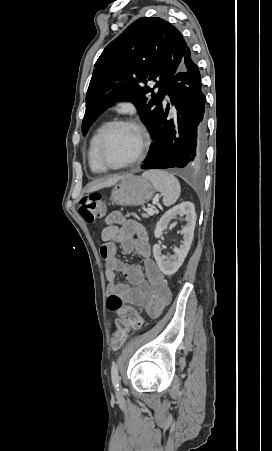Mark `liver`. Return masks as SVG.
I'll list each match as a JSON object with an SVG mask.
<instances>
[{
	"mask_svg": "<svg viewBox=\"0 0 272 451\" xmlns=\"http://www.w3.org/2000/svg\"><path fill=\"white\" fill-rule=\"evenodd\" d=\"M124 176H116V178H109V180H106V182H100V184H96V186H93V188H90V190H100V188H105V186H114V184H117L119 180H123Z\"/></svg>",
	"mask_w": 272,
	"mask_h": 451,
	"instance_id": "1",
	"label": "liver"
}]
</instances>
